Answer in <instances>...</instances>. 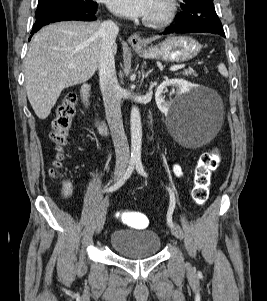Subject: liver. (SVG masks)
Masks as SVG:
<instances>
[{
	"label": "liver",
	"instance_id": "liver-1",
	"mask_svg": "<svg viewBox=\"0 0 267 301\" xmlns=\"http://www.w3.org/2000/svg\"><path fill=\"white\" fill-rule=\"evenodd\" d=\"M99 27L98 22H60L34 35L24 74L28 100L39 119L49 116L64 89L84 83L94 75L102 41ZM116 51L114 44L113 54Z\"/></svg>",
	"mask_w": 267,
	"mask_h": 301
}]
</instances>
